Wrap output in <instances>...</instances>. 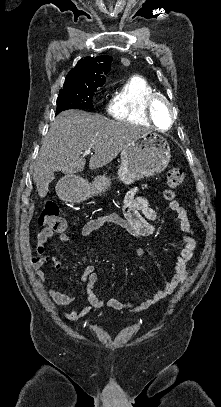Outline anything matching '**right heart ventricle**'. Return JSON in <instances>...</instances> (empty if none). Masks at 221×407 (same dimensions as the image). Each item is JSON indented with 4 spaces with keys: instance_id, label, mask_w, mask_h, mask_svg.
Wrapping results in <instances>:
<instances>
[{
    "instance_id": "obj_1",
    "label": "right heart ventricle",
    "mask_w": 221,
    "mask_h": 407,
    "mask_svg": "<svg viewBox=\"0 0 221 407\" xmlns=\"http://www.w3.org/2000/svg\"><path fill=\"white\" fill-rule=\"evenodd\" d=\"M156 93L155 88L144 77H131L112 94L106 111L117 120L149 126L145 103Z\"/></svg>"
}]
</instances>
